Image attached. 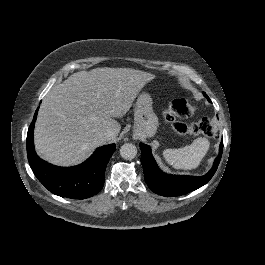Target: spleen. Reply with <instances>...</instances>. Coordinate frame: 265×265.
I'll return each mask as SVG.
<instances>
[{"label":"spleen","instance_id":"1","mask_svg":"<svg viewBox=\"0 0 265 265\" xmlns=\"http://www.w3.org/2000/svg\"><path fill=\"white\" fill-rule=\"evenodd\" d=\"M209 146L207 138L199 137L183 148L164 150L163 156L166 162L175 169L191 170L199 166Z\"/></svg>","mask_w":265,"mask_h":265}]
</instances>
